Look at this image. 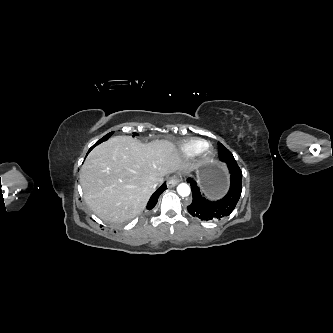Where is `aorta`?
<instances>
[{"label": "aorta", "mask_w": 333, "mask_h": 333, "mask_svg": "<svg viewBox=\"0 0 333 333\" xmlns=\"http://www.w3.org/2000/svg\"><path fill=\"white\" fill-rule=\"evenodd\" d=\"M177 192L182 197L189 196V194H190V187L186 183H181L177 187Z\"/></svg>", "instance_id": "762f6f07"}]
</instances>
